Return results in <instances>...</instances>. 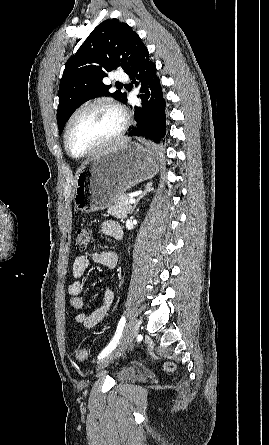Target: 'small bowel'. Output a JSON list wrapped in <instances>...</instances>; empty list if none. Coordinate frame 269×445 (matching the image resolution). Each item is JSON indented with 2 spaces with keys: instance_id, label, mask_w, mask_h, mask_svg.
<instances>
[{
  "instance_id": "obj_1",
  "label": "small bowel",
  "mask_w": 269,
  "mask_h": 445,
  "mask_svg": "<svg viewBox=\"0 0 269 445\" xmlns=\"http://www.w3.org/2000/svg\"><path fill=\"white\" fill-rule=\"evenodd\" d=\"M101 231L113 238L121 239L122 230L118 223L112 220H105L101 224ZM90 260L101 264L109 269L117 266L118 257L115 252L101 251L93 253H85L78 255L72 266L73 280L68 286V293L70 295V305L79 312L75 316L77 323L82 324L85 328H93L104 321L110 312L115 299V293L110 288L104 289L102 305L92 312L85 311V301L81 296L83 290V277L89 266Z\"/></svg>"
}]
</instances>
